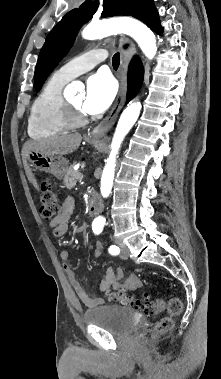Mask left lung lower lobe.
<instances>
[{"instance_id": "0a47b994", "label": "left lung lower lobe", "mask_w": 221, "mask_h": 379, "mask_svg": "<svg viewBox=\"0 0 221 379\" xmlns=\"http://www.w3.org/2000/svg\"><path fill=\"white\" fill-rule=\"evenodd\" d=\"M140 20L155 32L160 33L161 27L158 19V12L154 5L145 12Z\"/></svg>"}]
</instances>
